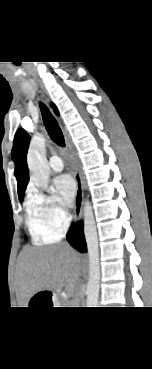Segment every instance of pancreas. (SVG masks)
<instances>
[{
    "label": "pancreas",
    "instance_id": "pancreas-1",
    "mask_svg": "<svg viewBox=\"0 0 152 369\" xmlns=\"http://www.w3.org/2000/svg\"><path fill=\"white\" fill-rule=\"evenodd\" d=\"M73 303H74V304H78V303H79V299H78V298H75V299L73 300Z\"/></svg>",
    "mask_w": 152,
    "mask_h": 369
}]
</instances>
